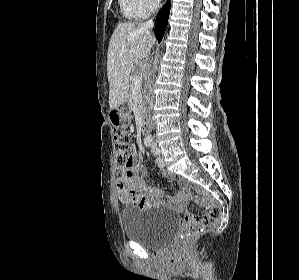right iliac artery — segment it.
<instances>
[{
	"mask_svg": "<svg viewBox=\"0 0 299 280\" xmlns=\"http://www.w3.org/2000/svg\"><path fill=\"white\" fill-rule=\"evenodd\" d=\"M144 143H145V145H146L147 147H149V146H151V144H152V140H151V139H146V140L144 141Z\"/></svg>",
	"mask_w": 299,
	"mask_h": 280,
	"instance_id": "obj_1",
	"label": "right iliac artery"
}]
</instances>
